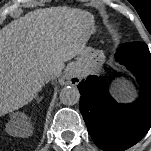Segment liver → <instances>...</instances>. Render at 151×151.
<instances>
[{
	"instance_id": "liver-1",
	"label": "liver",
	"mask_w": 151,
	"mask_h": 151,
	"mask_svg": "<svg viewBox=\"0 0 151 151\" xmlns=\"http://www.w3.org/2000/svg\"><path fill=\"white\" fill-rule=\"evenodd\" d=\"M94 16L77 8L35 10L0 30V116L30 102L53 71L83 55ZM28 131L25 135H29Z\"/></svg>"
}]
</instances>
